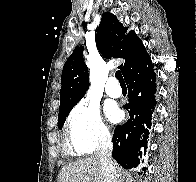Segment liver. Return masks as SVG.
Here are the masks:
<instances>
[{"mask_svg":"<svg viewBox=\"0 0 196 182\" xmlns=\"http://www.w3.org/2000/svg\"><path fill=\"white\" fill-rule=\"evenodd\" d=\"M57 182H104L100 160L91 156L63 166Z\"/></svg>","mask_w":196,"mask_h":182,"instance_id":"obj_1","label":"liver"}]
</instances>
